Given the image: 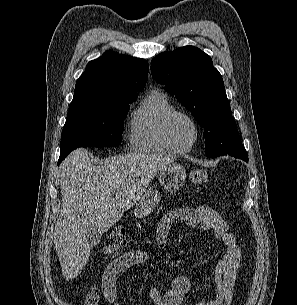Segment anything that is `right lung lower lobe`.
I'll return each instance as SVG.
<instances>
[{"instance_id": "1", "label": "right lung lower lobe", "mask_w": 297, "mask_h": 305, "mask_svg": "<svg viewBox=\"0 0 297 305\" xmlns=\"http://www.w3.org/2000/svg\"><path fill=\"white\" fill-rule=\"evenodd\" d=\"M64 159H65V157L60 155L59 160H58V164L61 163Z\"/></svg>"}]
</instances>
